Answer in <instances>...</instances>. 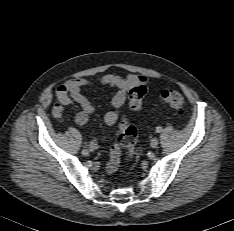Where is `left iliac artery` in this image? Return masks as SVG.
<instances>
[{
	"label": "left iliac artery",
	"instance_id": "1",
	"mask_svg": "<svg viewBox=\"0 0 234 231\" xmlns=\"http://www.w3.org/2000/svg\"><path fill=\"white\" fill-rule=\"evenodd\" d=\"M156 132H157V133L162 132V127L158 126V127L156 128Z\"/></svg>",
	"mask_w": 234,
	"mask_h": 231
}]
</instances>
